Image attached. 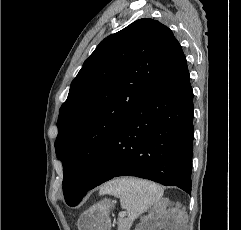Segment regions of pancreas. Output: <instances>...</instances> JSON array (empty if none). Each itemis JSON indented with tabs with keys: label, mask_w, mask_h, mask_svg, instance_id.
<instances>
[{
	"label": "pancreas",
	"mask_w": 241,
	"mask_h": 230,
	"mask_svg": "<svg viewBox=\"0 0 241 230\" xmlns=\"http://www.w3.org/2000/svg\"><path fill=\"white\" fill-rule=\"evenodd\" d=\"M131 222L128 219H120L118 222V230H129Z\"/></svg>",
	"instance_id": "1"
}]
</instances>
